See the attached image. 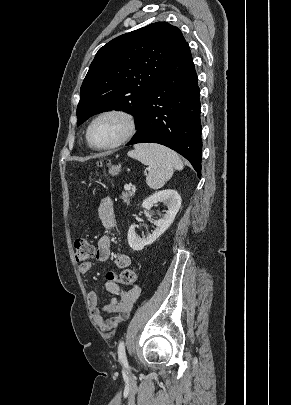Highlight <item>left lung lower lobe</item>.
<instances>
[{
  "label": "left lung lower lobe",
  "mask_w": 291,
  "mask_h": 405,
  "mask_svg": "<svg viewBox=\"0 0 291 405\" xmlns=\"http://www.w3.org/2000/svg\"><path fill=\"white\" fill-rule=\"evenodd\" d=\"M200 89L186 42L151 87L142 120L127 145L158 143L185 157L201 176Z\"/></svg>",
  "instance_id": "obj_1"
}]
</instances>
